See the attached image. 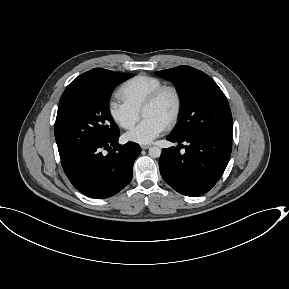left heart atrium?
<instances>
[{
  "instance_id": "1",
  "label": "left heart atrium",
  "mask_w": 289,
  "mask_h": 289,
  "mask_svg": "<svg viewBox=\"0 0 289 289\" xmlns=\"http://www.w3.org/2000/svg\"><path fill=\"white\" fill-rule=\"evenodd\" d=\"M166 128L161 121L148 117L144 118L134 129L125 134V139L138 144H149Z\"/></svg>"
}]
</instances>
